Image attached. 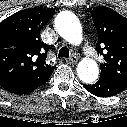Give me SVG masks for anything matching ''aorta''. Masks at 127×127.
<instances>
[{
  "instance_id": "762f6f07",
  "label": "aorta",
  "mask_w": 127,
  "mask_h": 127,
  "mask_svg": "<svg viewBox=\"0 0 127 127\" xmlns=\"http://www.w3.org/2000/svg\"><path fill=\"white\" fill-rule=\"evenodd\" d=\"M55 28L71 44H79L82 41L80 22L71 12L65 11L58 14L55 19ZM77 74L81 81L91 84L98 78V65L93 59L84 58L78 64Z\"/></svg>"
}]
</instances>
